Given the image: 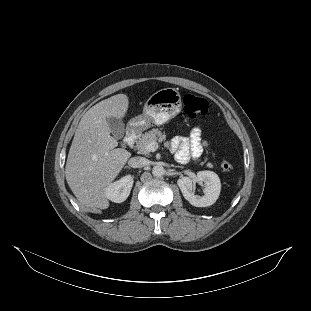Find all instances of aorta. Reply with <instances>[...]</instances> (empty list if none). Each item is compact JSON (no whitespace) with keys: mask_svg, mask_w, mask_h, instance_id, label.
Masks as SVG:
<instances>
[{"mask_svg":"<svg viewBox=\"0 0 311 311\" xmlns=\"http://www.w3.org/2000/svg\"><path fill=\"white\" fill-rule=\"evenodd\" d=\"M152 174L155 177H161L165 174V169L163 166L156 165L152 169Z\"/></svg>","mask_w":311,"mask_h":311,"instance_id":"762f6f07","label":"aorta"}]
</instances>
